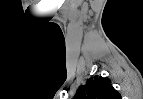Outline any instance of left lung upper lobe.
<instances>
[{
	"label": "left lung upper lobe",
	"mask_w": 143,
	"mask_h": 99,
	"mask_svg": "<svg viewBox=\"0 0 143 99\" xmlns=\"http://www.w3.org/2000/svg\"><path fill=\"white\" fill-rule=\"evenodd\" d=\"M74 99H121V95L108 78L95 76L78 89Z\"/></svg>",
	"instance_id": "obj_1"
}]
</instances>
